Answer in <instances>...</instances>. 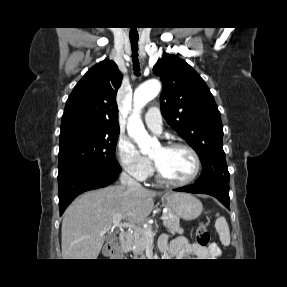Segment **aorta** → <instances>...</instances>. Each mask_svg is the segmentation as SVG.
I'll use <instances>...</instances> for the list:
<instances>
[{
  "label": "aorta",
  "instance_id": "1",
  "mask_svg": "<svg viewBox=\"0 0 287 287\" xmlns=\"http://www.w3.org/2000/svg\"><path fill=\"white\" fill-rule=\"evenodd\" d=\"M161 84L157 80H150L140 85L133 96V113L127 124L128 135L138 145L143 154H148L158 145V141L149 136L141 120L142 108L160 92Z\"/></svg>",
  "mask_w": 287,
  "mask_h": 287
}]
</instances>
